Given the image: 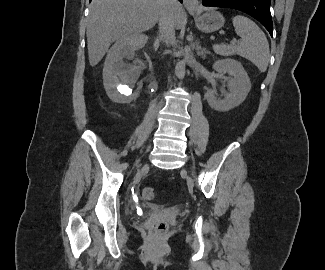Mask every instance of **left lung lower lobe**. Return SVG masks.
<instances>
[{
    "label": "left lung lower lobe",
    "mask_w": 325,
    "mask_h": 270,
    "mask_svg": "<svg viewBox=\"0 0 325 270\" xmlns=\"http://www.w3.org/2000/svg\"><path fill=\"white\" fill-rule=\"evenodd\" d=\"M202 4L243 11L258 20L273 36L270 0H203Z\"/></svg>",
    "instance_id": "1"
}]
</instances>
